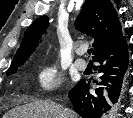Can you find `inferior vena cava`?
Masks as SVG:
<instances>
[{
	"instance_id": "1",
	"label": "inferior vena cava",
	"mask_w": 133,
	"mask_h": 118,
	"mask_svg": "<svg viewBox=\"0 0 133 118\" xmlns=\"http://www.w3.org/2000/svg\"><path fill=\"white\" fill-rule=\"evenodd\" d=\"M59 115H60V118H64V114L62 110L59 111Z\"/></svg>"
}]
</instances>
